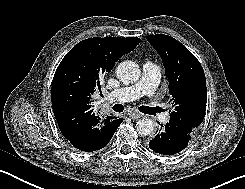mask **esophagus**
I'll return each instance as SVG.
<instances>
[{
    "instance_id": "1",
    "label": "esophagus",
    "mask_w": 245,
    "mask_h": 189,
    "mask_svg": "<svg viewBox=\"0 0 245 189\" xmlns=\"http://www.w3.org/2000/svg\"><path fill=\"white\" fill-rule=\"evenodd\" d=\"M129 117L133 120H136L138 118H140L142 115L138 112V111H135V110H132L128 113Z\"/></svg>"
}]
</instances>
